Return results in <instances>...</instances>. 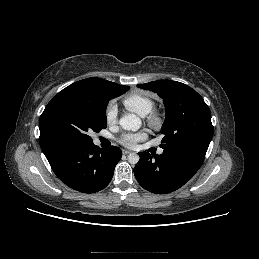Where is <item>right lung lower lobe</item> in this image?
I'll return each instance as SVG.
<instances>
[{
	"instance_id": "obj_1",
	"label": "right lung lower lobe",
	"mask_w": 259,
	"mask_h": 259,
	"mask_svg": "<svg viewBox=\"0 0 259 259\" xmlns=\"http://www.w3.org/2000/svg\"><path fill=\"white\" fill-rule=\"evenodd\" d=\"M54 173L70 188L95 193L111 181L122 152L117 146L99 149L91 144H64L45 153Z\"/></svg>"
}]
</instances>
